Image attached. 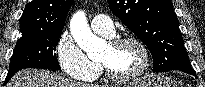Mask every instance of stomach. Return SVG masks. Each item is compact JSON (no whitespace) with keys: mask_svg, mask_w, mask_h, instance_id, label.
Returning <instances> with one entry per match:
<instances>
[{"mask_svg":"<svg viewBox=\"0 0 205 87\" xmlns=\"http://www.w3.org/2000/svg\"><path fill=\"white\" fill-rule=\"evenodd\" d=\"M175 81L166 77H144L126 87H176Z\"/></svg>","mask_w":205,"mask_h":87,"instance_id":"0dacf381","label":"stomach"}]
</instances>
